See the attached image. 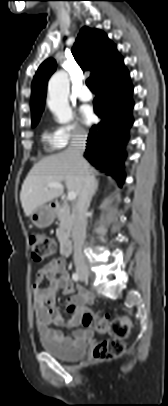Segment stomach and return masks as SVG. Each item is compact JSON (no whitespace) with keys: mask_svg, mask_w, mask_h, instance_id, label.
<instances>
[{"mask_svg":"<svg viewBox=\"0 0 168 406\" xmlns=\"http://www.w3.org/2000/svg\"><path fill=\"white\" fill-rule=\"evenodd\" d=\"M55 218V210L50 205L37 207L30 215L31 222L39 227H47L52 224Z\"/></svg>","mask_w":168,"mask_h":406,"instance_id":"1","label":"stomach"}]
</instances>
